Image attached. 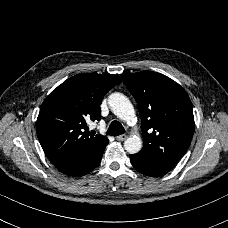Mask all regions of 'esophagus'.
<instances>
[{
  "instance_id": "1",
  "label": "esophagus",
  "mask_w": 228,
  "mask_h": 228,
  "mask_svg": "<svg viewBox=\"0 0 228 228\" xmlns=\"http://www.w3.org/2000/svg\"><path fill=\"white\" fill-rule=\"evenodd\" d=\"M126 137H127V136H126L125 134L119 135V136L116 137V140H117V141H124V140L126 139Z\"/></svg>"
}]
</instances>
